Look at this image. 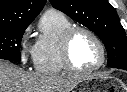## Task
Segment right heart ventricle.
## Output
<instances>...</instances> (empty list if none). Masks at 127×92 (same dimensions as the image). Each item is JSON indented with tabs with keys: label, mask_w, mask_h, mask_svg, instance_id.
Masks as SVG:
<instances>
[{
	"label": "right heart ventricle",
	"mask_w": 127,
	"mask_h": 92,
	"mask_svg": "<svg viewBox=\"0 0 127 92\" xmlns=\"http://www.w3.org/2000/svg\"><path fill=\"white\" fill-rule=\"evenodd\" d=\"M70 27L71 22L60 12L50 10L42 16L33 61L37 73L58 75L67 71L60 49L62 37Z\"/></svg>",
	"instance_id": "right-heart-ventricle-1"
}]
</instances>
